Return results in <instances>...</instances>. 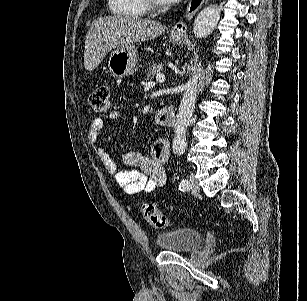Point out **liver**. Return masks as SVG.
<instances>
[{
  "instance_id": "liver-1",
  "label": "liver",
  "mask_w": 307,
  "mask_h": 301,
  "mask_svg": "<svg viewBox=\"0 0 307 301\" xmlns=\"http://www.w3.org/2000/svg\"><path fill=\"white\" fill-rule=\"evenodd\" d=\"M165 28L160 22L145 20L139 16L113 14L93 20L86 34L84 48L86 70H94L112 48H125L131 42L156 38Z\"/></svg>"
}]
</instances>
